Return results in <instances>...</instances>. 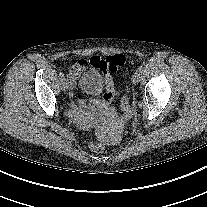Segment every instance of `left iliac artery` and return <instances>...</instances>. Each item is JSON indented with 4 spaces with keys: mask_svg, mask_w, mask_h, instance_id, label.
I'll return each mask as SVG.
<instances>
[{
    "mask_svg": "<svg viewBox=\"0 0 207 207\" xmlns=\"http://www.w3.org/2000/svg\"><path fill=\"white\" fill-rule=\"evenodd\" d=\"M143 70H144L143 66H140V67L137 69V72L142 73Z\"/></svg>",
    "mask_w": 207,
    "mask_h": 207,
    "instance_id": "44dca946",
    "label": "left iliac artery"
}]
</instances>
